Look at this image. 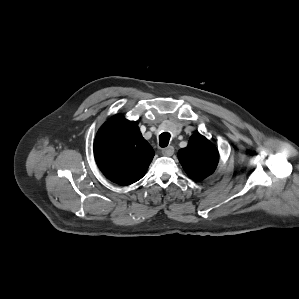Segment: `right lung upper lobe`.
<instances>
[{
  "label": "right lung upper lobe",
  "instance_id": "obj_1",
  "mask_svg": "<svg viewBox=\"0 0 299 299\" xmlns=\"http://www.w3.org/2000/svg\"><path fill=\"white\" fill-rule=\"evenodd\" d=\"M136 122L117 114L97 132L94 156L102 173L112 182L129 185L141 179L154 157Z\"/></svg>",
  "mask_w": 299,
  "mask_h": 299
}]
</instances>
